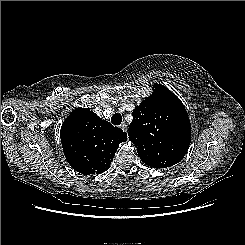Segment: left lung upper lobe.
I'll return each instance as SVG.
<instances>
[{"instance_id": "1", "label": "left lung upper lobe", "mask_w": 245, "mask_h": 245, "mask_svg": "<svg viewBox=\"0 0 245 245\" xmlns=\"http://www.w3.org/2000/svg\"><path fill=\"white\" fill-rule=\"evenodd\" d=\"M153 87L152 95L132 112L129 140L144 163L162 169L175 165L187 153L191 125L178 97L163 85Z\"/></svg>"}]
</instances>
